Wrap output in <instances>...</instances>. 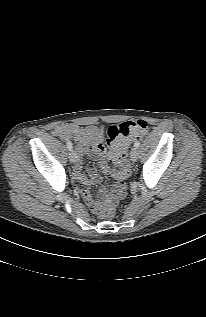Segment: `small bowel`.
<instances>
[{
    "instance_id": "c3829d8e",
    "label": "small bowel",
    "mask_w": 206,
    "mask_h": 317,
    "mask_svg": "<svg viewBox=\"0 0 206 317\" xmlns=\"http://www.w3.org/2000/svg\"><path fill=\"white\" fill-rule=\"evenodd\" d=\"M89 132L88 129L81 128L75 124H62L58 125L54 128L53 134L57 137H59L61 140H70L71 138H74L78 144L76 146V155L80 157L84 153H88L93 158H99L104 155V147L101 143H95L87 147L84 142L85 135ZM112 156V152L110 153V158ZM88 176L89 180L86 178L84 173L82 172V166L81 162L78 159L77 164L74 167V178L76 181L90 184V183H98L100 182V177L98 176L95 168L93 166H89L88 169ZM104 171L107 173H112L111 167L105 163L104 164ZM124 187L122 192L119 194L118 197H122L124 194ZM82 198L86 202V204L96 212L98 203L94 200L91 193L87 190H81L80 191Z\"/></svg>"
}]
</instances>
